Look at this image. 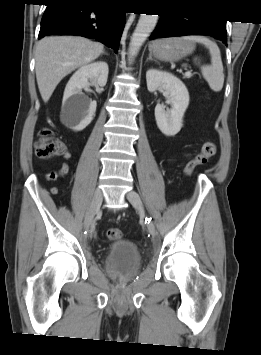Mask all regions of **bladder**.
Here are the masks:
<instances>
[{
  "mask_svg": "<svg viewBox=\"0 0 261 355\" xmlns=\"http://www.w3.org/2000/svg\"><path fill=\"white\" fill-rule=\"evenodd\" d=\"M104 261L107 269L116 276L130 278L141 264V255L135 243L119 239L109 245Z\"/></svg>",
  "mask_w": 261,
  "mask_h": 355,
  "instance_id": "bladder-1",
  "label": "bladder"
}]
</instances>
